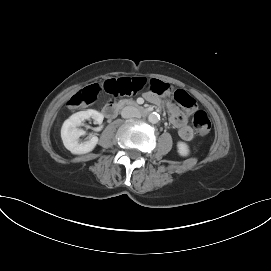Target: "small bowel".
<instances>
[{"mask_svg": "<svg viewBox=\"0 0 271 271\" xmlns=\"http://www.w3.org/2000/svg\"><path fill=\"white\" fill-rule=\"evenodd\" d=\"M168 88V90H167ZM169 92L167 80H162L161 76H150L149 86L144 98L153 103H159L160 98L158 95H166ZM170 111V120L173 126L178 130L180 138L184 141H190L194 137L192 128L187 124L185 115L173 103H168Z\"/></svg>", "mask_w": 271, "mask_h": 271, "instance_id": "1", "label": "small bowel"}]
</instances>
